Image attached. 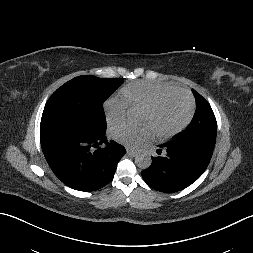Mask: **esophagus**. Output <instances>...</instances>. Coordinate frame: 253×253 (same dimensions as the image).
Returning a JSON list of instances; mask_svg holds the SVG:
<instances>
[{"instance_id":"obj_1","label":"esophagus","mask_w":253,"mask_h":253,"mask_svg":"<svg viewBox=\"0 0 253 253\" xmlns=\"http://www.w3.org/2000/svg\"><path fill=\"white\" fill-rule=\"evenodd\" d=\"M126 151H127V154L131 156H135L137 154V151L135 149L127 148Z\"/></svg>"}]
</instances>
